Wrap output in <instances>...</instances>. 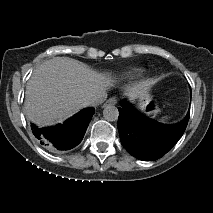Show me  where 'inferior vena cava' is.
Returning a JSON list of instances; mask_svg holds the SVG:
<instances>
[{
    "mask_svg": "<svg viewBox=\"0 0 213 213\" xmlns=\"http://www.w3.org/2000/svg\"><path fill=\"white\" fill-rule=\"evenodd\" d=\"M107 98V93L105 91L99 92L96 95L91 96L90 98L85 100L86 106H98L104 102Z\"/></svg>",
    "mask_w": 213,
    "mask_h": 213,
    "instance_id": "1",
    "label": "inferior vena cava"
}]
</instances>
